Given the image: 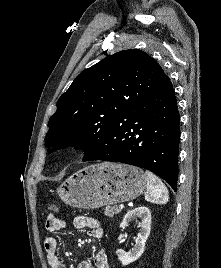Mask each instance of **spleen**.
I'll list each match as a JSON object with an SVG mask.
<instances>
[{
	"instance_id": "1",
	"label": "spleen",
	"mask_w": 221,
	"mask_h": 268,
	"mask_svg": "<svg viewBox=\"0 0 221 268\" xmlns=\"http://www.w3.org/2000/svg\"><path fill=\"white\" fill-rule=\"evenodd\" d=\"M145 175L147 179L145 200L156 204L167 203L169 196L166 186L152 172L145 171Z\"/></svg>"
}]
</instances>
